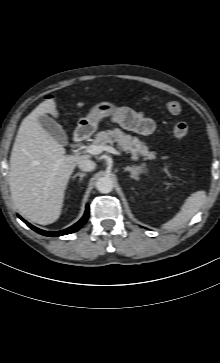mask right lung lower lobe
<instances>
[{
  "label": "right lung lower lobe",
  "mask_w": 220,
  "mask_h": 363,
  "mask_svg": "<svg viewBox=\"0 0 220 363\" xmlns=\"http://www.w3.org/2000/svg\"><path fill=\"white\" fill-rule=\"evenodd\" d=\"M88 216H89V206L87 205L84 216L76 224H74L73 226H71V227H69V228H67L65 230L59 231V232H48V231L38 229V228L34 227L33 225L29 224L28 222H26L20 216H19V218L22 221H24L31 229L38 232L39 234H42L44 236H52L53 237V236H62V235H66V234L76 232L77 230H79L85 224V222L88 219Z\"/></svg>",
  "instance_id": "98d812e1"
}]
</instances>
